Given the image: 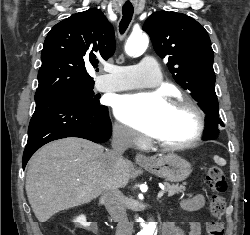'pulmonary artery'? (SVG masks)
I'll return each instance as SVG.
<instances>
[{
    "label": "pulmonary artery",
    "instance_id": "obj_1",
    "mask_svg": "<svg viewBox=\"0 0 250 235\" xmlns=\"http://www.w3.org/2000/svg\"><path fill=\"white\" fill-rule=\"evenodd\" d=\"M158 68V62L148 56L137 65L112 66L109 74L98 80L97 87L103 92L154 87L161 81Z\"/></svg>",
    "mask_w": 250,
    "mask_h": 235
}]
</instances>
